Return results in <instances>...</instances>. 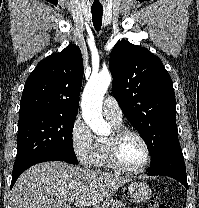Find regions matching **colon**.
I'll use <instances>...</instances> for the list:
<instances>
[{"instance_id": "1", "label": "colon", "mask_w": 199, "mask_h": 208, "mask_svg": "<svg viewBox=\"0 0 199 208\" xmlns=\"http://www.w3.org/2000/svg\"><path fill=\"white\" fill-rule=\"evenodd\" d=\"M150 208H167V207L162 201L151 200L150 201Z\"/></svg>"}]
</instances>
